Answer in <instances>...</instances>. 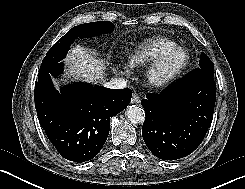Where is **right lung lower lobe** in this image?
<instances>
[{"instance_id": "right-lung-lower-lobe-1", "label": "right lung lower lobe", "mask_w": 245, "mask_h": 189, "mask_svg": "<svg viewBox=\"0 0 245 189\" xmlns=\"http://www.w3.org/2000/svg\"><path fill=\"white\" fill-rule=\"evenodd\" d=\"M63 63L35 83V108L39 122L61 156L85 162L102 149L110 129V118L130 103V89H108L73 83L58 92L50 75L62 73Z\"/></svg>"}]
</instances>
